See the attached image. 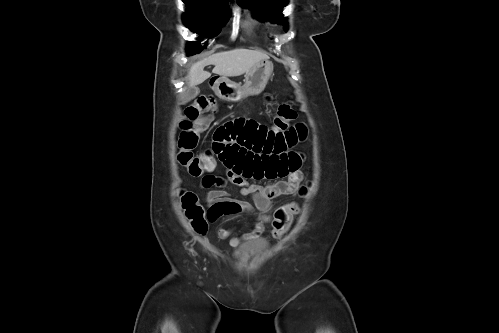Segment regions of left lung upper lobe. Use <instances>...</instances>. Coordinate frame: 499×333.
Masks as SVG:
<instances>
[{
	"label": "left lung upper lobe",
	"instance_id": "1",
	"mask_svg": "<svg viewBox=\"0 0 499 333\" xmlns=\"http://www.w3.org/2000/svg\"><path fill=\"white\" fill-rule=\"evenodd\" d=\"M238 3L244 7L251 6L259 18L284 24V29H287V20L282 16L281 11L287 5L288 0H238Z\"/></svg>",
	"mask_w": 499,
	"mask_h": 333
}]
</instances>
